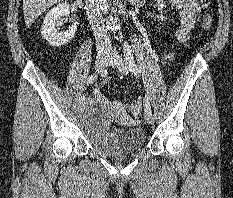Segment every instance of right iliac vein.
I'll list each match as a JSON object with an SVG mask.
<instances>
[{
    "instance_id": "obj_1",
    "label": "right iliac vein",
    "mask_w": 233,
    "mask_h": 198,
    "mask_svg": "<svg viewBox=\"0 0 233 198\" xmlns=\"http://www.w3.org/2000/svg\"><path fill=\"white\" fill-rule=\"evenodd\" d=\"M109 60V54L106 51H99L96 56V61H95V70L96 72H101L105 65L107 64ZM88 105V102L82 103L79 107L78 110L81 111L83 110L86 106Z\"/></svg>"
}]
</instances>
